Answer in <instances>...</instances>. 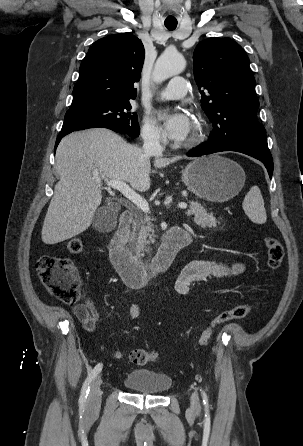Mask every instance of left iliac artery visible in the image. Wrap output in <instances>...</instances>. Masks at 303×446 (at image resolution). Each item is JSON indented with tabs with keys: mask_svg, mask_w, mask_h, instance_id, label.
Instances as JSON below:
<instances>
[{
	"mask_svg": "<svg viewBox=\"0 0 303 446\" xmlns=\"http://www.w3.org/2000/svg\"><path fill=\"white\" fill-rule=\"evenodd\" d=\"M201 392H202V397H203V403H204L205 407L208 408V397H207L205 391L201 390Z\"/></svg>",
	"mask_w": 303,
	"mask_h": 446,
	"instance_id": "44dca946",
	"label": "left iliac artery"
}]
</instances>
